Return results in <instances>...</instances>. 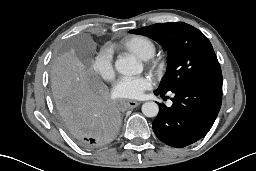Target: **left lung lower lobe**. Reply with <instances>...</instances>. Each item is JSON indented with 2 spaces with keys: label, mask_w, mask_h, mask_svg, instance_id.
Instances as JSON below:
<instances>
[{
  "label": "left lung lower lobe",
  "mask_w": 256,
  "mask_h": 171,
  "mask_svg": "<svg viewBox=\"0 0 256 171\" xmlns=\"http://www.w3.org/2000/svg\"><path fill=\"white\" fill-rule=\"evenodd\" d=\"M171 91L175 94L172 106L159 104L152 127L162 142L182 148L198 141L211 129L221 107L222 86L187 83ZM154 93L165 94L158 90Z\"/></svg>",
  "instance_id": "left-lung-lower-lobe-1"
}]
</instances>
